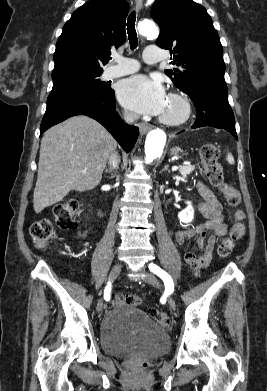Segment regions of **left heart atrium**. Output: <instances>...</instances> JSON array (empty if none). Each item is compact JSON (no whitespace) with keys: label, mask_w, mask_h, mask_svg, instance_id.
Masks as SVG:
<instances>
[{"label":"left heart atrium","mask_w":267,"mask_h":391,"mask_svg":"<svg viewBox=\"0 0 267 391\" xmlns=\"http://www.w3.org/2000/svg\"><path fill=\"white\" fill-rule=\"evenodd\" d=\"M117 94L124 107L139 114H162L167 103L161 82L145 75H136L122 81Z\"/></svg>","instance_id":"1"}]
</instances>
